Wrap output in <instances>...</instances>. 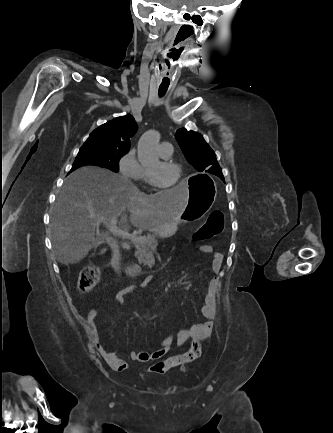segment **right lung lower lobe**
Segmentation results:
<instances>
[{"label":"right lung lower lobe","mask_w":333,"mask_h":433,"mask_svg":"<svg viewBox=\"0 0 333 433\" xmlns=\"http://www.w3.org/2000/svg\"><path fill=\"white\" fill-rule=\"evenodd\" d=\"M76 168L75 167H72V169H71V171L70 172H72L73 170H75Z\"/></svg>","instance_id":"1"}]
</instances>
